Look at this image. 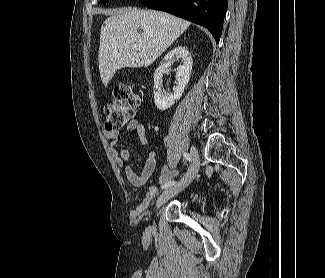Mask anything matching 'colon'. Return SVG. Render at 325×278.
<instances>
[{"label":"colon","mask_w":325,"mask_h":278,"mask_svg":"<svg viewBox=\"0 0 325 278\" xmlns=\"http://www.w3.org/2000/svg\"><path fill=\"white\" fill-rule=\"evenodd\" d=\"M139 105V96L129 87H117L113 92V100L104 107V129L114 131L122 128L133 119Z\"/></svg>","instance_id":"colon-1"}]
</instances>
